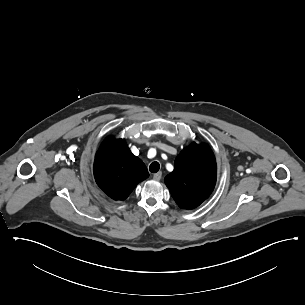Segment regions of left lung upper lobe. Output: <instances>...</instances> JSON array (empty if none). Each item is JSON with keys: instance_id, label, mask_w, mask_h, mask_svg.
I'll list each match as a JSON object with an SVG mask.
<instances>
[{"instance_id": "5c2ea615", "label": "left lung upper lobe", "mask_w": 305, "mask_h": 305, "mask_svg": "<svg viewBox=\"0 0 305 305\" xmlns=\"http://www.w3.org/2000/svg\"><path fill=\"white\" fill-rule=\"evenodd\" d=\"M216 183V161L207 144L192 143L176 157L165 184L183 209H194L212 193Z\"/></svg>"}]
</instances>
